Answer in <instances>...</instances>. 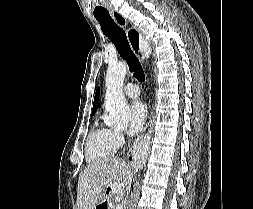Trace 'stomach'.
Returning a JSON list of instances; mask_svg holds the SVG:
<instances>
[{
    "label": "stomach",
    "instance_id": "stomach-1",
    "mask_svg": "<svg viewBox=\"0 0 253 209\" xmlns=\"http://www.w3.org/2000/svg\"><path fill=\"white\" fill-rule=\"evenodd\" d=\"M101 184L104 191H99V198L97 199L94 209H114V202L112 199L114 188H112L109 181H102Z\"/></svg>",
    "mask_w": 253,
    "mask_h": 209
}]
</instances>
